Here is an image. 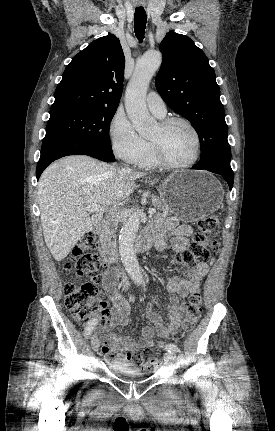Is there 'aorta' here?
Wrapping results in <instances>:
<instances>
[{
    "mask_svg": "<svg viewBox=\"0 0 275 431\" xmlns=\"http://www.w3.org/2000/svg\"><path fill=\"white\" fill-rule=\"evenodd\" d=\"M162 55L158 51L145 53L137 62L125 94V108L133 126L142 137L148 136L155 127V120L146 106L149 83L160 67ZM140 217L133 213L124 223L119 236V252L122 263L137 283L143 280L141 268L134 251V241L139 229Z\"/></svg>",
    "mask_w": 275,
    "mask_h": 431,
    "instance_id": "aorta-1",
    "label": "aorta"
}]
</instances>
